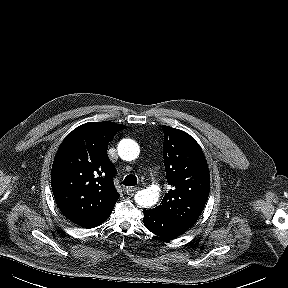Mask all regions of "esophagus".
Wrapping results in <instances>:
<instances>
[{
	"label": "esophagus",
	"instance_id": "esophagus-1",
	"mask_svg": "<svg viewBox=\"0 0 288 288\" xmlns=\"http://www.w3.org/2000/svg\"><path fill=\"white\" fill-rule=\"evenodd\" d=\"M138 190H139V187H126L125 188L126 193L129 195L135 193Z\"/></svg>",
	"mask_w": 288,
	"mask_h": 288
}]
</instances>
